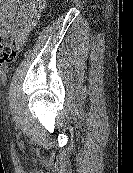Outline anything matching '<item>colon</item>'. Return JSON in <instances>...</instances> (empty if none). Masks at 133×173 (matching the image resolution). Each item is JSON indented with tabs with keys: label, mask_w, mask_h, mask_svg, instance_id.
<instances>
[{
	"label": "colon",
	"mask_w": 133,
	"mask_h": 173,
	"mask_svg": "<svg viewBox=\"0 0 133 173\" xmlns=\"http://www.w3.org/2000/svg\"><path fill=\"white\" fill-rule=\"evenodd\" d=\"M17 55L16 41L0 35V65L12 63Z\"/></svg>",
	"instance_id": "obj_1"
}]
</instances>
